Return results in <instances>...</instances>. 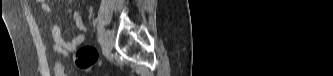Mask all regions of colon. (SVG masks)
I'll return each instance as SVG.
<instances>
[{
    "mask_svg": "<svg viewBox=\"0 0 333 76\" xmlns=\"http://www.w3.org/2000/svg\"><path fill=\"white\" fill-rule=\"evenodd\" d=\"M98 59V53L96 49L91 45L81 47L75 56V64L82 70L91 69Z\"/></svg>",
    "mask_w": 333,
    "mask_h": 76,
    "instance_id": "obj_1",
    "label": "colon"
}]
</instances>
